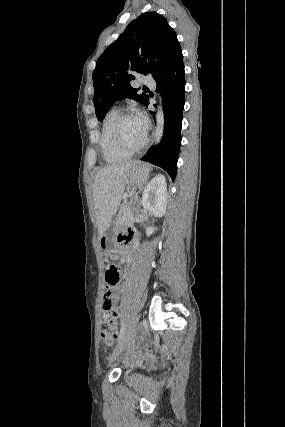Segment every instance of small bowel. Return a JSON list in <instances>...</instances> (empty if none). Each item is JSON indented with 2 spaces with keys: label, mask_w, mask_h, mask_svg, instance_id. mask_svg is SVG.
<instances>
[{
  "label": "small bowel",
  "mask_w": 285,
  "mask_h": 427,
  "mask_svg": "<svg viewBox=\"0 0 285 427\" xmlns=\"http://www.w3.org/2000/svg\"><path fill=\"white\" fill-rule=\"evenodd\" d=\"M138 233L136 231H132V230H128L126 232V235L122 236L120 238V242L123 244H128V243H135L136 239H137ZM120 299V288L114 287L111 291V293L109 295H107L105 293L104 298H103V310H105L106 308V304L108 302L112 303L113 305H115L117 302H119Z\"/></svg>",
  "instance_id": "c3829d8e"
}]
</instances>
